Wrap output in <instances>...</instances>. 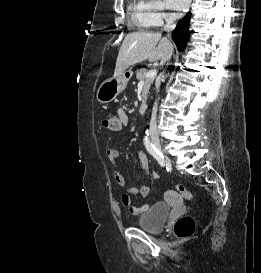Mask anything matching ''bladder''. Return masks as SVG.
<instances>
[{
	"label": "bladder",
	"instance_id": "1",
	"mask_svg": "<svg viewBox=\"0 0 261 273\" xmlns=\"http://www.w3.org/2000/svg\"><path fill=\"white\" fill-rule=\"evenodd\" d=\"M171 212V205L167 202L159 201L150 205L137 219V225L149 232H159L163 230Z\"/></svg>",
	"mask_w": 261,
	"mask_h": 273
}]
</instances>
